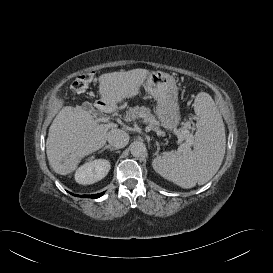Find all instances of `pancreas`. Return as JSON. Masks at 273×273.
Returning a JSON list of instances; mask_svg holds the SVG:
<instances>
[{
	"label": "pancreas",
	"mask_w": 273,
	"mask_h": 273,
	"mask_svg": "<svg viewBox=\"0 0 273 273\" xmlns=\"http://www.w3.org/2000/svg\"><path fill=\"white\" fill-rule=\"evenodd\" d=\"M138 118H142L145 123H149V127L155 130H158V121L155 116L151 114L149 108L144 106H135L133 108H129L126 112L125 119L127 121L135 120ZM186 128L181 129L180 133L186 141H189L191 144L193 143V135Z\"/></svg>",
	"instance_id": "1"
}]
</instances>
